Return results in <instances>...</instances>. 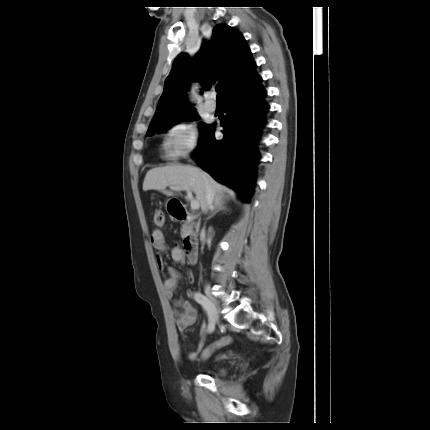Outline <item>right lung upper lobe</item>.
<instances>
[{
	"label": "right lung upper lobe",
	"instance_id": "obj_1",
	"mask_svg": "<svg viewBox=\"0 0 430 430\" xmlns=\"http://www.w3.org/2000/svg\"><path fill=\"white\" fill-rule=\"evenodd\" d=\"M255 68L242 34L228 25H217L212 43H204L194 61L185 54L175 59L150 126L190 110L185 89L191 77L201 82L203 90L215 88L217 100L223 101L235 86L257 75Z\"/></svg>",
	"mask_w": 430,
	"mask_h": 430
}]
</instances>
